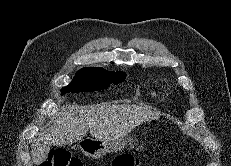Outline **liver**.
Returning a JSON list of instances; mask_svg holds the SVG:
<instances>
[{
    "instance_id": "obj_1",
    "label": "liver",
    "mask_w": 231,
    "mask_h": 166,
    "mask_svg": "<svg viewBox=\"0 0 231 166\" xmlns=\"http://www.w3.org/2000/svg\"><path fill=\"white\" fill-rule=\"evenodd\" d=\"M158 118L159 112L145 105H67L51 127L40 132L33 141V163L39 165L44 162L52 145L77 142L85 137L88 130L96 140H119L143 122Z\"/></svg>"
}]
</instances>
